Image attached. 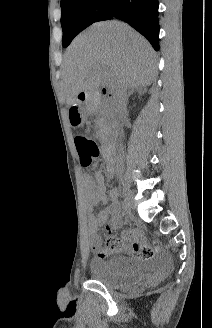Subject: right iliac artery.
<instances>
[{"label":"right iliac artery","mask_w":212,"mask_h":328,"mask_svg":"<svg viewBox=\"0 0 212 328\" xmlns=\"http://www.w3.org/2000/svg\"><path fill=\"white\" fill-rule=\"evenodd\" d=\"M122 208H123V210H126L125 202H122Z\"/></svg>","instance_id":"82829eb1"}]
</instances>
